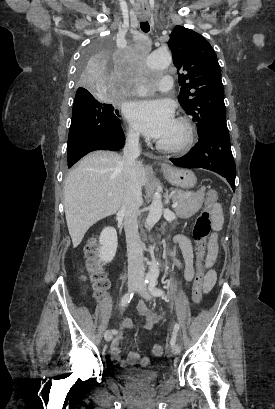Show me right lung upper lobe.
<instances>
[{"label":"right lung upper lobe","mask_w":275,"mask_h":409,"mask_svg":"<svg viewBox=\"0 0 275 409\" xmlns=\"http://www.w3.org/2000/svg\"><path fill=\"white\" fill-rule=\"evenodd\" d=\"M84 91H87V90H77V92H84Z\"/></svg>","instance_id":"obj_1"}]
</instances>
